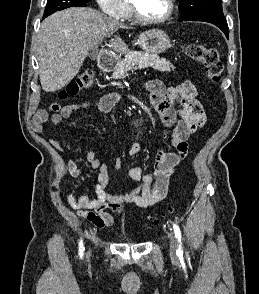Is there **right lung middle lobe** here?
Segmentation results:
<instances>
[{
  "instance_id": "obj_1",
  "label": "right lung middle lobe",
  "mask_w": 259,
  "mask_h": 294,
  "mask_svg": "<svg viewBox=\"0 0 259 294\" xmlns=\"http://www.w3.org/2000/svg\"><path fill=\"white\" fill-rule=\"evenodd\" d=\"M89 1L91 0H48L46 8L44 10L43 18H46L56 11L63 10L69 7H84Z\"/></svg>"
}]
</instances>
